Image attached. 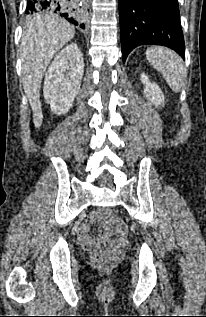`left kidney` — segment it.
<instances>
[{
  "instance_id": "1",
  "label": "left kidney",
  "mask_w": 206,
  "mask_h": 317,
  "mask_svg": "<svg viewBox=\"0 0 206 317\" xmlns=\"http://www.w3.org/2000/svg\"><path fill=\"white\" fill-rule=\"evenodd\" d=\"M141 82L144 84L145 97L155 106L164 105L165 97L159 86L154 82H150L145 73L141 74Z\"/></svg>"
}]
</instances>
